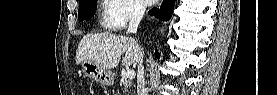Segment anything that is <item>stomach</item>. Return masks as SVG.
I'll use <instances>...</instances> for the list:
<instances>
[{"label": "stomach", "instance_id": "0dacf381", "mask_svg": "<svg viewBox=\"0 0 277 95\" xmlns=\"http://www.w3.org/2000/svg\"><path fill=\"white\" fill-rule=\"evenodd\" d=\"M81 67L85 76L97 81L101 85L109 86L114 83L113 74L92 61H82Z\"/></svg>", "mask_w": 277, "mask_h": 95}]
</instances>
